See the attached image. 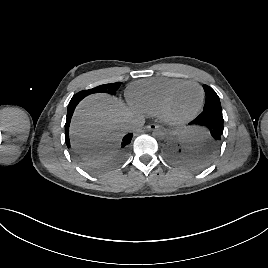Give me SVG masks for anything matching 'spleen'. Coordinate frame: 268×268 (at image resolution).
Returning a JSON list of instances; mask_svg holds the SVG:
<instances>
[{"mask_svg":"<svg viewBox=\"0 0 268 268\" xmlns=\"http://www.w3.org/2000/svg\"><path fill=\"white\" fill-rule=\"evenodd\" d=\"M206 126L199 121L190 124L185 131V140L194 148H203L208 141Z\"/></svg>","mask_w":268,"mask_h":268,"instance_id":"obj_1","label":"spleen"}]
</instances>
